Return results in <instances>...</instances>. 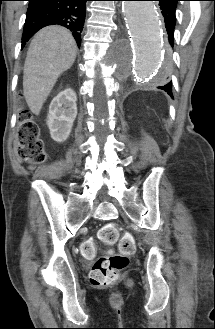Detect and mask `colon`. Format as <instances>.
I'll list each match as a JSON object with an SVG mask.
<instances>
[{
	"label": "colon",
	"mask_w": 215,
	"mask_h": 329,
	"mask_svg": "<svg viewBox=\"0 0 215 329\" xmlns=\"http://www.w3.org/2000/svg\"><path fill=\"white\" fill-rule=\"evenodd\" d=\"M22 71L21 67L17 68ZM17 155L19 159L32 163L41 164L45 162L47 154L43 141L39 137V127L32 119L29 111L24 110L19 116L17 133ZM99 239L106 245H113L119 239V231L115 224H107L99 231ZM94 244L86 241L81 252L84 256L94 254ZM135 251V240L132 235L126 234L119 239V254L100 256L93 264L90 272V281L96 287H104L114 284L123 270L129 263V257Z\"/></svg>",
	"instance_id": "obj_1"
}]
</instances>
